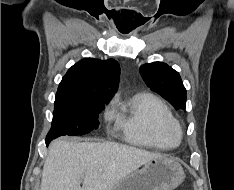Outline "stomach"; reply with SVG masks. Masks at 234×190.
<instances>
[{
    "label": "stomach",
    "mask_w": 234,
    "mask_h": 190,
    "mask_svg": "<svg viewBox=\"0 0 234 190\" xmlns=\"http://www.w3.org/2000/svg\"><path fill=\"white\" fill-rule=\"evenodd\" d=\"M184 179V170L175 159L160 156L121 179L111 190H174Z\"/></svg>",
    "instance_id": "obj_1"
}]
</instances>
